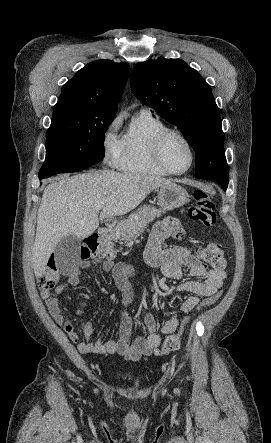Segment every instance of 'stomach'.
Segmentation results:
<instances>
[{"label":"stomach","mask_w":271,"mask_h":443,"mask_svg":"<svg viewBox=\"0 0 271 443\" xmlns=\"http://www.w3.org/2000/svg\"><path fill=\"white\" fill-rule=\"evenodd\" d=\"M189 200V196L181 186H177V184H164L161 186L158 194V202L159 206L163 208V210H174V208H180V206H184L187 204ZM115 239H120L122 235V231L120 227H117L113 233Z\"/></svg>","instance_id":"1"}]
</instances>
